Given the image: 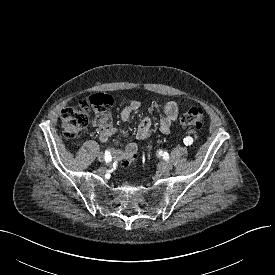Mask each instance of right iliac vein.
Instances as JSON below:
<instances>
[{
	"label": "right iliac vein",
	"mask_w": 275,
	"mask_h": 275,
	"mask_svg": "<svg viewBox=\"0 0 275 275\" xmlns=\"http://www.w3.org/2000/svg\"><path fill=\"white\" fill-rule=\"evenodd\" d=\"M97 157H98V160H99L100 162H104V161H105V157H104V155H103L102 153H99V154L97 155Z\"/></svg>",
	"instance_id": "1"
}]
</instances>
